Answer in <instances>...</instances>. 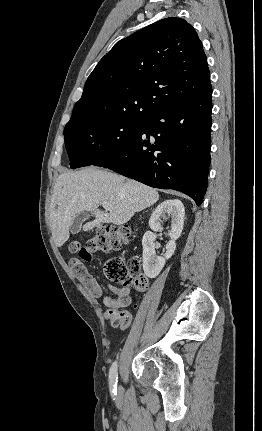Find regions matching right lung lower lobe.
Instances as JSON below:
<instances>
[{
    "label": "right lung lower lobe",
    "mask_w": 262,
    "mask_h": 431,
    "mask_svg": "<svg viewBox=\"0 0 262 431\" xmlns=\"http://www.w3.org/2000/svg\"><path fill=\"white\" fill-rule=\"evenodd\" d=\"M212 87L145 118L137 134L94 163L151 187L174 189L198 206L207 188Z\"/></svg>",
    "instance_id": "obj_1"
}]
</instances>
